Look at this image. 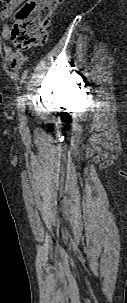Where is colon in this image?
Masks as SVG:
<instances>
[{"label": "colon", "instance_id": "5ec220e1", "mask_svg": "<svg viewBox=\"0 0 127 303\" xmlns=\"http://www.w3.org/2000/svg\"><path fill=\"white\" fill-rule=\"evenodd\" d=\"M11 5L14 0H0ZM61 0H27L15 13L10 38L16 49L41 46L46 41L51 17Z\"/></svg>", "mask_w": 127, "mask_h": 303}]
</instances>
